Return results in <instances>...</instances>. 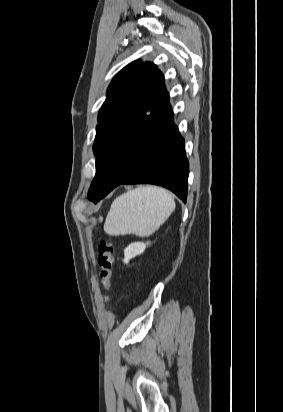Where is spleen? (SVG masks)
Wrapping results in <instances>:
<instances>
[{
    "mask_svg": "<svg viewBox=\"0 0 283 412\" xmlns=\"http://www.w3.org/2000/svg\"><path fill=\"white\" fill-rule=\"evenodd\" d=\"M175 209L172 195L163 188L143 186L117 197L107 214L104 231L112 236L152 235Z\"/></svg>",
    "mask_w": 283,
    "mask_h": 412,
    "instance_id": "spleen-1",
    "label": "spleen"
}]
</instances>
